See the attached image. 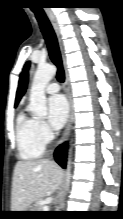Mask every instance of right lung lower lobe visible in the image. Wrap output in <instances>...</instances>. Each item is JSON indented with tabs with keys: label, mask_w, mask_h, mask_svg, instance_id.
<instances>
[{
	"label": "right lung lower lobe",
	"mask_w": 123,
	"mask_h": 219,
	"mask_svg": "<svg viewBox=\"0 0 123 219\" xmlns=\"http://www.w3.org/2000/svg\"><path fill=\"white\" fill-rule=\"evenodd\" d=\"M67 143L60 145L55 152V160L63 167H66Z\"/></svg>",
	"instance_id": "right-lung-lower-lobe-1"
}]
</instances>
